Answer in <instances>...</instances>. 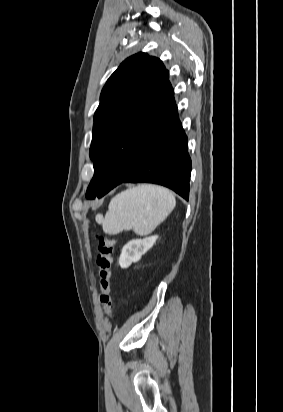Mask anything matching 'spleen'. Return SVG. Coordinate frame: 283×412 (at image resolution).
<instances>
[{"label": "spleen", "mask_w": 283, "mask_h": 412, "mask_svg": "<svg viewBox=\"0 0 283 412\" xmlns=\"http://www.w3.org/2000/svg\"><path fill=\"white\" fill-rule=\"evenodd\" d=\"M176 200L168 189L142 184L117 194L101 219L103 231L110 235L133 230L148 235L173 211Z\"/></svg>", "instance_id": "spleen-1"}]
</instances>
